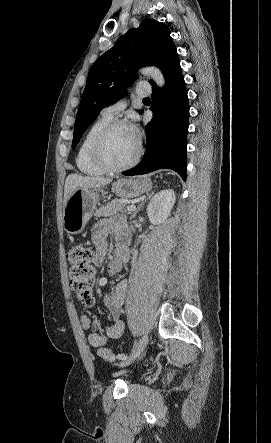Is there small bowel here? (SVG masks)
<instances>
[{
  "label": "small bowel",
  "mask_w": 271,
  "mask_h": 443,
  "mask_svg": "<svg viewBox=\"0 0 271 443\" xmlns=\"http://www.w3.org/2000/svg\"><path fill=\"white\" fill-rule=\"evenodd\" d=\"M111 236L117 240H122V233L108 220H100L93 228L92 242L95 246L94 262L97 266L102 265L107 253V241ZM128 259V251L124 244L119 243L115 259L111 262L109 269L111 273L120 271L122 265ZM127 293V281L120 280L115 288L108 293L103 301L104 307L111 315L112 324L107 326L103 333L93 330V324L89 316L82 314L80 318L81 326L88 332V342L94 347L105 344L107 339L118 340L124 332V322L121 313Z\"/></svg>",
  "instance_id": "obj_1"
}]
</instances>
